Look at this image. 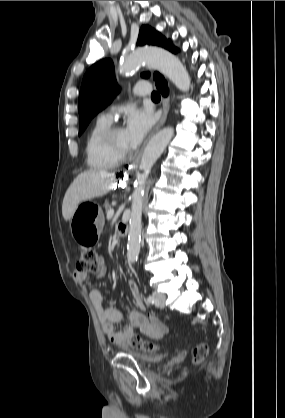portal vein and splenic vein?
I'll return each instance as SVG.
<instances>
[{
	"mask_svg": "<svg viewBox=\"0 0 285 418\" xmlns=\"http://www.w3.org/2000/svg\"><path fill=\"white\" fill-rule=\"evenodd\" d=\"M114 215V209H109L107 211V219H111Z\"/></svg>",
	"mask_w": 285,
	"mask_h": 418,
	"instance_id": "1",
	"label": "portal vein and splenic vein"
}]
</instances>
